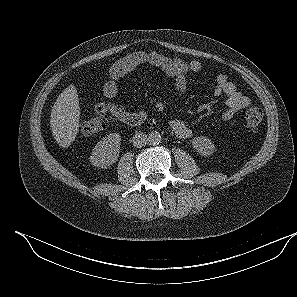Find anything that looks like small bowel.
<instances>
[{"label":"small bowel","instance_id":"obj_1","mask_svg":"<svg viewBox=\"0 0 297 297\" xmlns=\"http://www.w3.org/2000/svg\"><path fill=\"white\" fill-rule=\"evenodd\" d=\"M141 65H149L164 72L173 78L177 93L182 94L187 90V75L197 73L202 69L198 60L186 62L177 57H169L158 51L134 52L117 60L109 69V80L103 86V94L107 99L118 95V80ZM215 96H225L226 109L222 113L223 120H230L233 116L250 105V99L243 95L237 87L228 80L227 76L220 74L216 79ZM98 114L110 113L118 121L128 125H138L147 119L144 111L130 113L122 106L101 102L96 106ZM169 126L179 139H189L193 135L192 129L180 119H171Z\"/></svg>","mask_w":297,"mask_h":297}]
</instances>
